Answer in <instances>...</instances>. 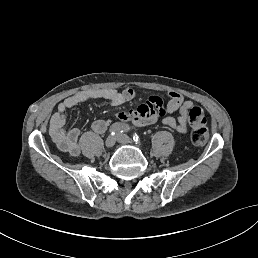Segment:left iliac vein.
I'll return each instance as SVG.
<instances>
[{"label":"left iliac vein","instance_id":"1","mask_svg":"<svg viewBox=\"0 0 258 258\" xmlns=\"http://www.w3.org/2000/svg\"><path fill=\"white\" fill-rule=\"evenodd\" d=\"M116 140H117L119 143H122V144H130V137L127 136L126 134H119V135L116 137Z\"/></svg>","mask_w":258,"mask_h":258}]
</instances>
